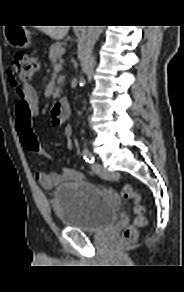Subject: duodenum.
I'll return each instance as SVG.
<instances>
[{"instance_id":"410a0bca","label":"duodenum","mask_w":184,"mask_h":292,"mask_svg":"<svg viewBox=\"0 0 184 292\" xmlns=\"http://www.w3.org/2000/svg\"><path fill=\"white\" fill-rule=\"evenodd\" d=\"M53 116L58 121H63L69 116V102L66 99L56 101L53 107Z\"/></svg>"}]
</instances>
